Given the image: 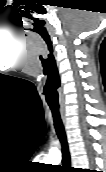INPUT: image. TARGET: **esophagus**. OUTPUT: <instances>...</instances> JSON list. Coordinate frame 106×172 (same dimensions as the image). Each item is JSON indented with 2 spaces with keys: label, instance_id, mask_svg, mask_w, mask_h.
I'll list each match as a JSON object with an SVG mask.
<instances>
[{
  "label": "esophagus",
  "instance_id": "1",
  "mask_svg": "<svg viewBox=\"0 0 106 172\" xmlns=\"http://www.w3.org/2000/svg\"><path fill=\"white\" fill-rule=\"evenodd\" d=\"M61 114V119L63 121V124L66 126V116H65V111L63 109L60 110Z\"/></svg>",
  "mask_w": 106,
  "mask_h": 172
}]
</instances>
